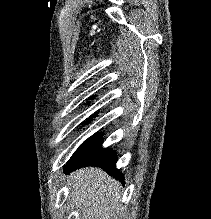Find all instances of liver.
Segmentation results:
<instances>
[{
    "label": "liver",
    "instance_id": "liver-1",
    "mask_svg": "<svg viewBox=\"0 0 211 219\" xmlns=\"http://www.w3.org/2000/svg\"><path fill=\"white\" fill-rule=\"evenodd\" d=\"M71 203L78 219H116L120 184L100 168H82L69 176Z\"/></svg>",
    "mask_w": 211,
    "mask_h": 219
}]
</instances>
